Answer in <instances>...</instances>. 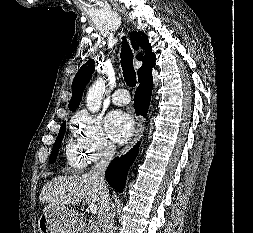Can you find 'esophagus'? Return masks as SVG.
I'll return each instance as SVG.
<instances>
[{
  "label": "esophagus",
  "mask_w": 253,
  "mask_h": 233,
  "mask_svg": "<svg viewBox=\"0 0 253 233\" xmlns=\"http://www.w3.org/2000/svg\"><path fill=\"white\" fill-rule=\"evenodd\" d=\"M143 129H144L143 118L139 117L138 121H137V126H136V129H135V132H134L133 139L131 140L129 145L124 149L123 152L128 151L139 140V138L142 135Z\"/></svg>",
  "instance_id": "obj_1"
}]
</instances>
